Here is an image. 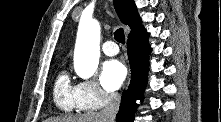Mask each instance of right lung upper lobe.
Segmentation results:
<instances>
[{"mask_svg": "<svg viewBox=\"0 0 221 122\" xmlns=\"http://www.w3.org/2000/svg\"><path fill=\"white\" fill-rule=\"evenodd\" d=\"M114 6L121 22L131 28L129 35L143 28L134 0H114Z\"/></svg>", "mask_w": 221, "mask_h": 122, "instance_id": "obj_1", "label": "right lung upper lobe"}]
</instances>
